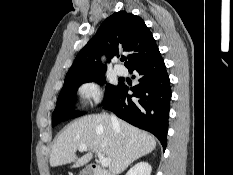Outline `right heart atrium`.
Returning <instances> with one entry per match:
<instances>
[{"label":"right heart atrium","instance_id":"1","mask_svg":"<svg viewBox=\"0 0 233 175\" xmlns=\"http://www.w3.org/2000/svg\"><path fill=\"white\" fill-rule=\"evenodd\" d=\"M80 98L87 103L97 105L103 97V89L96 81H85L78 87Z\"/></svg>","mask_w":233,"mask_h":175}]
</instances>
